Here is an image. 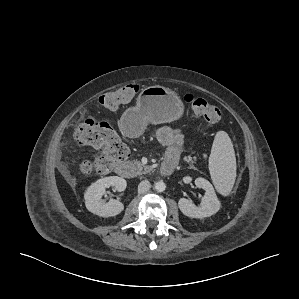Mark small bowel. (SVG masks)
Here are the masks:
<instances>
[{
  "instance_id": "obj_1",
  "label": "small bowel",
  "mask_w": 299,
  "mask_h": 299,
  "mask_svg": "<svg viewBox=\"0 0 299 299\" xmlns=\"http://www.w3.org/2000/svg\"><path fill=\"white\" fill-rule=\"evenodd\" d=\"M158 141L166 147L165 161L178 163L183 151V136L177 129L164 126L157 131Z\"/></svg>"
}]
</instances>
